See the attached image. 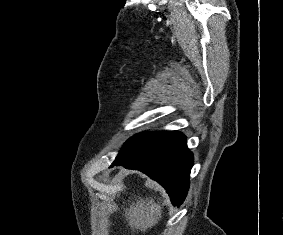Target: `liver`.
Returning <instances> with one entry per match:
<instances>
[{
    "label": "liver",
    "mask_w": 283,
    "mask_h": 235,
    "mask_svg": "<svg viewBox=\"0 0 283 235\" xmlns=\"http://www.w3.org/2000/svg\"><path fill=\"white\" fill-rule=\"evenodd\" d=\"M128 225L133 231L146 232L155 226L162 218V208L159 202L153 199L138 198L131 202L129 208L124 211Z\"/></svg>",
    "instance_id": "6515ba94"
}]
</instances>
